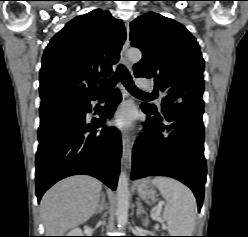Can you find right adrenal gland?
Returning a JSON list of instances; mask_svg holds the SVG:
<instances>
[{"label":"right adrenal gland","instance_id":"2a0ac1e0","mask_svg":"<svg viewBox=\"0 0 248 237\" xmlns=\"http://www.w3.org/2000/svg\"><path fill=\"white\" fill-rule=\"evenodd\" d=\"M106 208V203H105V195H101V201L97 206V209L94 214H101L103 210Z\"/></svg>","mask_w":248,"mask_h":237}]
</instances>
